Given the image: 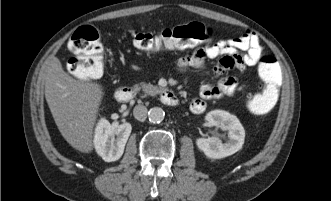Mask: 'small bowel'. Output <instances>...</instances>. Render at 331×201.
Here are the masks:
<instances>
[{"mask_svg": "<svg viewBox=\"0 0 331 201\" xmlns=\"http://www.w3.org/2000/svg\"><path fill=\"white\" fill-rule=\"evenodd\" d=\"M262 52L263 45L260 38L252 32H246L236 38L196 48L181 57L176 64L179 71L190 68L201 69L207 59L218 60L214 67V73L218 76L217 82L201 85L200 97L195 98L190 104L191 112L203 113L206 109V100L235 95L238 90V82L234 77L227 76L225 73L232 68L243 71L246 67L256 65Z\"/></svg>", "mask_w": 331, "mask_h": 201, "instance_id": "c3829d8e", "label": "small bowel"}]
</instances>
